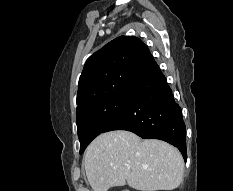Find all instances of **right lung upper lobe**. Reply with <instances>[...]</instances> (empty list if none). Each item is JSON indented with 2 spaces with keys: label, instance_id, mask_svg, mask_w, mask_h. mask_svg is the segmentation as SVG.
<instances>
[{
  "label": "right lung upper lobe",
  "instance_id": "cb5924a9",
  "mask_svg": "<svg viewBox=\"0 0 233 191\" xmlns=\"http://www.w3.org/2000/svg\"><path fill=\"white\" fill-rule=\"evenodd\" d=\"M153 58L137 37L120 36L85 62L79 79L77 111L106 97L128 92Z\"/></svg>",
  "mask_w": 233,
  "mask_h": 191
}]
</instances>
